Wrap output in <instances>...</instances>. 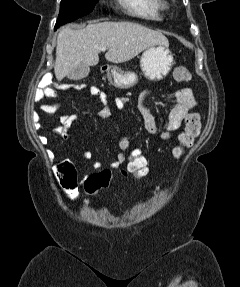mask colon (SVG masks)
<instances>
[{"instance_id": "5ec220e1", "label": "colon", "mask_w": 240, "mask_h": 287, "mask_svg": "<svg viewBox=\"0 0 240 287\" xmlns=\"http://www.w3.org/2000/svg\"><path fill=\"white\" fill-rule=\"evenodd\" d=\"M177 82L187 83L191 80V73L185 66H177L173 72ZM83 89L84 84L72 86ZM200 131V120L196 113H189L185 119V127L178 135V144L173 149V155L179 159L194 143ZM150 172L149 161L144 152L137 147H130L125 164V175L133 180H141ZM55 176L67 191H72L76 186L75 169L71 162L62 161L56 165ZM116 183L111 172L102 170L93 173L82 182L87 196L94 197L99 190L108 188Z\"/></svg>"}]
</instances>
